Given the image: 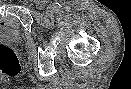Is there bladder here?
<instances>
[{"label":"bladder","mask_w":131,"mask_h":89,"mask_svg":"<svg viewBox=\"0 0 131 89\" xmlns=\"http://www.w3.org/2000/svg\"><path fill=\"white\" fill-rule=\"evenodd\" d=\"M22 39L23 31L19 21L13 16L0 15V42L17 44Z\"/></svg>","instance_id":"1"}]
</instances>
